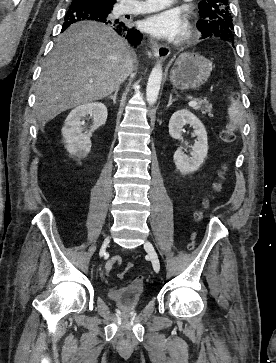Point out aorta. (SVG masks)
<instances>
[{
	"label": "aorta",
	"instance_id": "obj_1",
	"mask_svg": "<svg viewBox=\"0 0 276 363\" xmlns=\"http://www.w3.org/2000/svg\"><path fill=\"white\" fill-rule=\"evenodd\" d=\"M163 76L162 65H156L149 76L147 88H146V98L149 105H154L157 101L161 81Z\"/></svg>",
	"mask_w": 276,
	"mask_h": 363
}]
</instances>
